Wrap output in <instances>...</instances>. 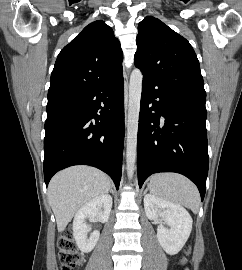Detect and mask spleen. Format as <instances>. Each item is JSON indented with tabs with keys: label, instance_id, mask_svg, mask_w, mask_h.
<instances>
[{
	"label": "spleen",
	"instance_id": "3e777b00",
	"mask_svg": "<svg viewBox=\"0 0 242 270\" xmlns=\"http://www.w3.org/2000/svg\"><path fill=\"white\" fill-rule=\"evenodd\" d=\"M149 189L158 198L183 205L197 213L200 195L197 187L186 177L176 173H159L152 176Z\"/></svg>",
	"mask_w": 242,
	"mask_h": 270
}]
</instances>
